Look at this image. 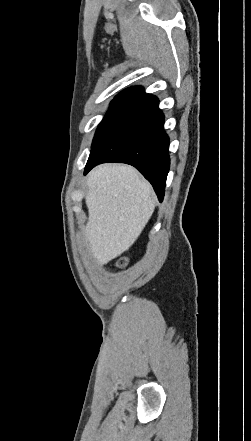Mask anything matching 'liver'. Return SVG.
<instances>
[{"mask_svg": "<svg viewBox=\"0 0 251 441\" xmlns=\"http://www.w3.org/2000/svg\"><path fill=\"white\" fill-rule=\"evenodd\" d=\"M86 240L99 265L127 251L151 218V185L129 165L103 164L87 177Z\"/></svg>", "mask_w": 251, "mask_h": 441, "instance_id": "6515ba94", "label": "liver"}]
</instances>
